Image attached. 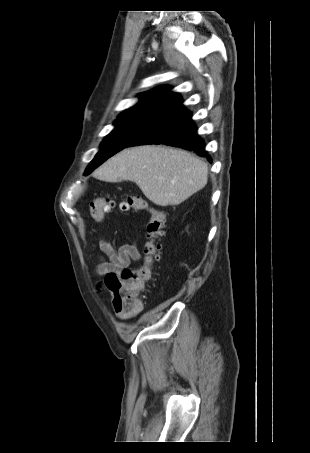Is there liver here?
Listing matches in <instances>:
<instances>
[{
	"label": "liver",
	"instance_id": "6515ba94",
	"mask_svg": "<svg viewBox=\"0 0 310 453\" xmlns=\"http://www.w3.org/2000/svg\"><path fill=\"white\" fill-rule=\"evenodd\" d=\"M93 176L113 183L133 181L154 204L167 206L179 205L203 189L208 181V167L189 152L144 145L117 153Z\"/></svg>",
	"mask_w": 310,
	"mask_h": 453
}]
</instances>
